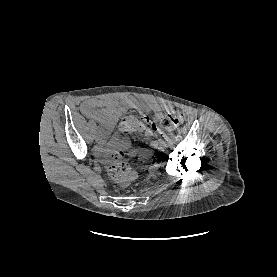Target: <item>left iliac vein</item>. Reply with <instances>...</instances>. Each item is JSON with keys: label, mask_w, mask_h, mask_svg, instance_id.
Masks as SVG:
<instances>
[{"label": "left iliac vein", "mask_w": 277, "mask_h": 277, "mask_svg": "<svg viewBox=\"0 0 277 277\" xmlns=\"http://www.w3.org/2000/svg\"><path fill=\"white\" fill-rule=\"evenodd\" d=\"M159 147H160L161 149H164V148L167 147V143H166V142H161V143L159 144Z\"/></svg>", "instance_id": "obj_1"}]
</instances>
